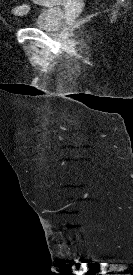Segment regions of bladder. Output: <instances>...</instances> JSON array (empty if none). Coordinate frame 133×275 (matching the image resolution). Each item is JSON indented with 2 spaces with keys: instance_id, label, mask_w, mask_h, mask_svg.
I'll use <instances>...</instances> for the list:
<instances>
[{
  "instance_id": "obj_1",
  "label": "bladder",
  "mask_w": 133,
  "mask_h": 275,
  "mask_svg": "<svg viewBox=\"0 0 133 275\" xmlns=\"http://www.w3.org/2000/svg\"><path fill=\"white\" fill-rule=\"evenodd\" d=\"M64 20V13L58 6H49L37 13L33 26L44 31H56Z\"/></svg>"
}]
</instances>
